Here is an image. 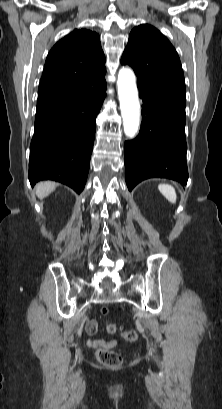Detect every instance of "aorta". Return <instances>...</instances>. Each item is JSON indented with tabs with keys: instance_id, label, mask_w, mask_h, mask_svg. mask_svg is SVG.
Here are the masks:
<instances>
[{
	"instance_id": "1",
	"label": "aorta",
	"mask_w": 222,
	"mask_h": 409,
	"mask_svg": "<svg viewBox=\"0 0 222 409\" xmlns=\"http://www.w3.org/2000/svg\"><path fill=\"white\" fill-rule=\"evenodd\" d=\"M117 87L124 133L128 138L132 139L137 135L139 130L140 105L136 79L131 69L122 68L119 70Z\"/></svg>"
}]
</instances>
